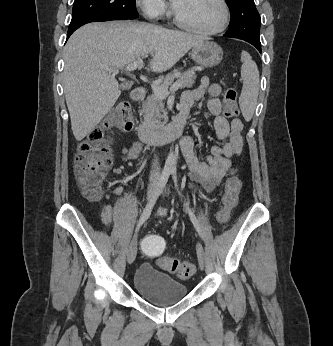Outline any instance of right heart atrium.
<instances>
[{
	"mask_svg": "<svg viewBox=\"0 0 333 346\" xmlns=\"http://www.w3.org/2000/svg\"><path fill=\"white\" fill-rule=\"evenodd\" d=\"M136 3L145 16L152 20H159L169 12L165 0H136Z\"/></svg>",
	"mask_w": 333,
	"mask_h": 346,
	"instance_id": "d8ad5b80",
	"label": "right heart atrium"
}]
</instances>
